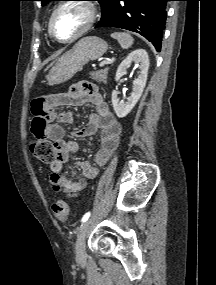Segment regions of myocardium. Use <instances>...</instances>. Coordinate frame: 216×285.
<instances>
[{"instance_id": "1", "label": "myocardium", "mask_w": 216, "mask_h": 285, "mask_svg": "<svg viewBox=\"0 0 216 285\" xmlns=\"http://www.w3.org/2000/svg\"><path fill=\"white\" fill-rule=\"evenodd\" d=\"M68 5H79V6L84 7L88 12V20L85 23V25L76 34H74L70 38L59 39L54 34V31H53V20H54L55 15L58 13V11H60L62 8ZM96 19H97V8L92 2L88 0H66L58 4L55 7V9L52 11L49 21H48V32L51 38H53L55 41L59 43H63V44L72 43L76 41L77 39L81 38L82 36H84L93 27Z\"/></svg>"}]
</instances>
